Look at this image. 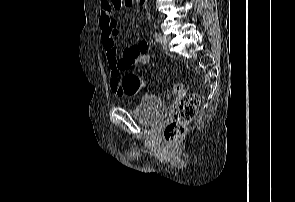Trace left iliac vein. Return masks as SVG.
<instances>
[{
	"label": "left iliac vein",
	"instance_id": "4c4485c4",
	"mask_svg": "<svg viewBox=\"0 0 295 202\" xmlns=\"http://www.w3.org/2000/svg\"><path fill=\"white\" fill-rule=\"evenodd\" d=\"M169 41H170V36H167V35L162 36V39L160 42L163 48H166L168 46Z\"/></svg>",
	"mask_w": 295,
	"mask_h": 202
}]
</instances>
